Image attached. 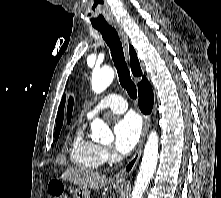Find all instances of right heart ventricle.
<instances>
[{
  "mask_svg": "<svg viewBox=\"0 0 221 198\" xmlns=\"http://www.w3.org/2000/svg\"><path fill=\"white\" fill-rule=\"evenodd\" d=\"M71 162L83 170H96L104 162L101 156V146L85 136L84 127L74 133L69 144Z\"/></svg>",
  "mask_w": 221,
  "mask_h": 198,
  "instance_id": "1",
  "label": "right heart ventricle"
}]
</instances>
